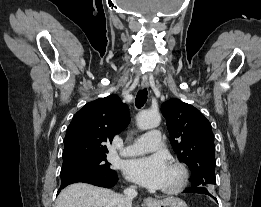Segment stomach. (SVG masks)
<instances>
[{"mask_svg":"<svg viewBox=\"0 0 261 207\" xmlns=\"http://www.w3.org/2000/svg\"><path fill=\"white\" fill-rule=\"evenodd\" d=\"M148 207H188L187 204L176 197H167L161 200H154Z\"/></svg>","mask_w":261,"mask_h":207,"instance_id":"0dacf381","label":"stomach"}]
</instances>
